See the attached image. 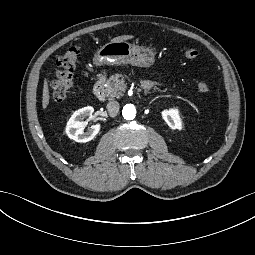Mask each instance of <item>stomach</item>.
I'll return each instance as SVG.
<instances>
[{
	"mask_svg": "<svg viewBox=\"0 0 255 255\" xmlns=\"http://www.w3.org/2000/svg\"><path fill=\"white\" fill-rule=\"evenodd\" d=\"M92 62L95 67L130 63L134 66L149 68L155 64V54L148 48L126 41L110 42L95 53Z\"/></svg>",
	"mask_w": 255,
	"mask_h": 255,
	"instance_id": "1",
	"label": "stomach"
}]
</instances>
